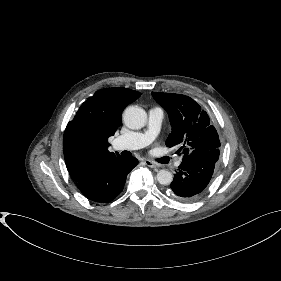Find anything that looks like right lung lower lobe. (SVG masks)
Listing matches in <instances>:
<instances>
[{
    "label": "right lung lower lobe",
    "instance_id": "right-lung-lower-lobe-1",
    "mask_svg": "<svg viewBox=\"0 0 281 281\" xmlns=\"http://www.w3.org/2000/svg\"><path fill=\"white\" fill-rule=\"evenodd\" d=\"M138 164L134 157L119 154L100 161L82 180L76 182L80 191L95 202L112 201L122 192L126 176Z\"/></svg>",
    "mask_w": 281,
    "mask_h": 281
}]
</instances>
